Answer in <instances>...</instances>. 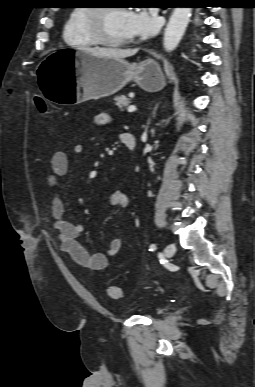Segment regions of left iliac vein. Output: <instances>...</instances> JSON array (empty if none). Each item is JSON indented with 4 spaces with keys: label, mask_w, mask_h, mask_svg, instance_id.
<instances>
[{
    "label": "left iliac vein",
    "mask_w": 255,
    "mask_h": 387,
    "mask_svg": "<svg viewBox=\"0 0 255 387\" xmlns=\"http://www.w3.org/2000/svg\"><path fill=\"white\" fill-rule=\"evenodd\" d=\"M176 251V246L174 244H168L164 249V256L166 258H171Z\"/></svg>",
    "instance_id": "1"
}]
</instances>
